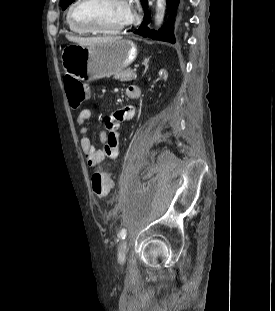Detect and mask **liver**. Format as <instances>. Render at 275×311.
I'll list each match as a JSON object with an SVG mask.
<instances>
[{
	"label": "liver",
	"mask_w": 275,
	"mask_h": 311,
	"mask_svg": "<svg viewBox=\"0 0 275 311\" xmlns=\"http://www.w3.org/2000/svg\"><path fill=\"white\" fill-rule=\"evenodd\" d=\"M68 40L76 42L82 45H93L97 43H108L114 42L117 40H121V37H93V38H80V37H73V36H66Z\"/></svg>",
	"instance_id": "1"
}]
</instances>
